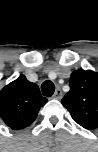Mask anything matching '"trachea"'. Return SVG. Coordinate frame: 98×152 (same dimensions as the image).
I'll list each match as a JSON object with an SVG mask.
<instances>
[{
	"label": "trachea",
	"mask_w": 98,
	"mask_h": 152,
	"mask_svg": "<svg viewBox=\"0 0 98 152\" xmlns=\"http://www.w3.org/2000/svg\"><path fill=\"white\" fill-rule=\"evenodd\" d=\"M41 90L44 96L50 97L55 91V85L52 81L46 80L42 83Z\"/></svg>",
	"instance_id": "3493384b"
}]
</instances>
